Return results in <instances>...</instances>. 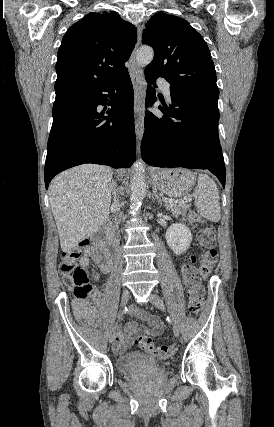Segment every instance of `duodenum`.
<instances>
[{
	"instance_id": "1",
	"label": "duodenum",
	"mask_w": 274,
	"mask_h": 427,
	"mask_svg": "<svg viewBox=\"0 0 274 427\" xmlns=\"http://www.w3.org/2000/svg\"><path fill=\"white\" fill-rule=\"evenodd\" d=\"M105 229L109 234H113L114 232V223L113 221H109L106 225H105Z\"/></svg>"
}]
</instances>
